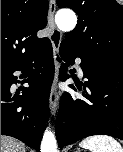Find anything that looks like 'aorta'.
Wrapping results in <instances>:
<instances>
[{
    "label": "aorta",
    "mask_w": 123,
    "mask_h": 152,
    "mask_svg": "<svg viewBox=\"0 0 123 152\" xmlns=\"http://www.w3.org/2000/svg\"><path fill=\"white\" fill-rule=\"evenodd\" d=\"M55 21L60 30L68 32L75 28L77 17L73 11L60 10L56 14ZM41 152H57L55 135L49 130H46L43 135Z\"/></svg>",
    "instance_id": "aorta-1"
}]
</instances>
